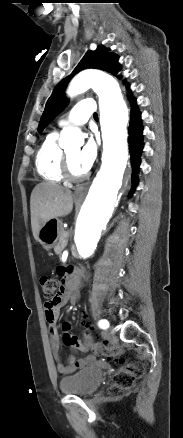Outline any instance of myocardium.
Instances as JSON below:
<instances>
[{"label": "myocardium", "mask_w": 183, "mask_h": 438, "mask_svg": "<svg viewBox=\"0 0 183 438\" xmlns=\"http://www.w3.org/2000/svg\"><path fill=\"white\" fill-rule=\"evenodd\" d=\"M61 171L63 178L70 182H79L88 176V172H84L81 175H76L71 171L70 161L66 152H63Z\"/></svg>", "instance_id": "myocardium-1"}]
</instances>
